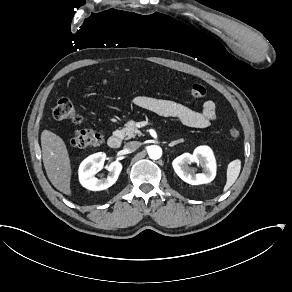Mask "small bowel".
Listing matches in <instances>:
<instances>
[{
    "label": "small bowel",
    "mask_w": 292,
    "mask_h": 292,
    "mask_svg": "<svg viewBox=\"0 0 292 292\" xmlns=\"http://www.w3.org/2000/svg\"><path fill=\"white\" fill-rule=\"evenodd\" d=\"M133 103L137 107L163 116L176 117L186 126L193 128L208 127L217 117L216 105L211 100L204 101L199 111L171 100L158 99L144 95L134 97Z\"/></svg>",
    "instance_id": "1"
}]
</instances>
